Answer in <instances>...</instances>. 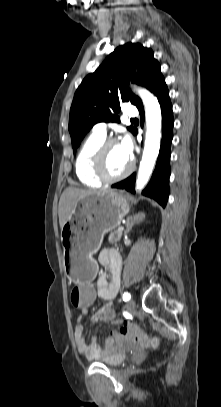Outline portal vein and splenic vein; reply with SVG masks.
Returning a JSON list of instances; mask_svg holds the SVG:
<instances>
[{"label": "portal vein and splenic vein", "instance_id": "obj_1", "mask_svg": "<svg viewBox=\"0 0 221 407\" xmlns=\"http://www.w3.org/2000/svg\"><path fill=\"white\" fill-rule=\"evenodd\" d=\"M123 230H124V227H122V226L118 228V231H123Z\"/></svg>", "mask_w": 221, "mask_h": 407}]
</instances>
